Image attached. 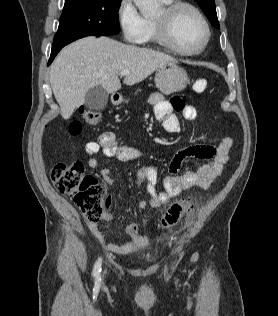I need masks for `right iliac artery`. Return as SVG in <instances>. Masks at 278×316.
I'll return each mask as SVG.
<instances>
[{"mask_svg": "<svg viewBox=\"0 0 278 316\" xmlns=\"http://www.w3.org/2000/svg\"><path fill=\"white\" fill-rule=\"evenodd\" d=\"M101 264H102V260H101V258H99L98 261L96 262L94 270H93V277H95V279L98 281L100 279Z\"/></svg>", "mask_w": 278, "mask_h": 316, "instance_id": "1", "label": "right iliac artery"}]
</instances>
